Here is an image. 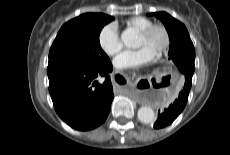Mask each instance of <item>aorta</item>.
<instances>
[{"mask_svg": "<svg viewBox=\"0 0 230 155\" xmlns=\"http://www.w3.org/2000/svg\"><path fill=\"white\" fill-rule=\"evenodd\" d=\"M121 40L126 46H132L135 35L129 31L125 30L121 34ZM138 119L145 124H150L155 120V112L150 106H142L138 110Z\"/></svg>", "mask_w": 230, "mask_h": 155, "instance_id": "aorta-1", "label": "aorta"}]
</instances>
